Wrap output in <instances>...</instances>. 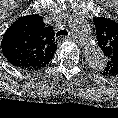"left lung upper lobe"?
<instances>
[{
    "instance_id": "left-lung-upper-lobe-1",
    "label": "left lung upper lobe",
    "mask_w": 118,
    "mask_h": 118,
    "mask_svg": "<svg viewBox=\"0 0 118 118\" xmlns=\"http://www.w3.org/2000/svg\"><path fill=\"white\" fill-rule=\"evenodd\" d=\"M98 46L106 56V66L102 74L104 76L118 75V23L113 20L97 17L93 18Z\"/></svg>"
}]
</instances>
